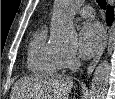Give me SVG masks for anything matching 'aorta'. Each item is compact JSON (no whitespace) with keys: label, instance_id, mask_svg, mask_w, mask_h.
<instances>
[{"label":"aorta","instance_id":"762f6f07","mask_svg":"<svg viewBox=\"0 0 115 99\" xmlns=\"http://www.w3.org/2000/svg\"><path fill=\"white\" fill-rule=\"evenodd\" d=\"M81 0H55L54 16L51 23V39L61 47L75 45L77 32L72 19L81 5ZM109 64L101 62L93 75L90 99H104L107 93Z\"/></svg>","mask_w":115,"mask_h":99}]
</instances>
